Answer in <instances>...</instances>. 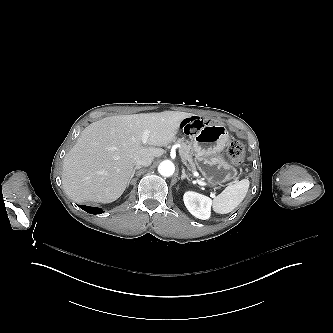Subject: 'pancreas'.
<instances>
[{
  "instance_id": "obj_1",
  "label": "pancreas",
  "mask_w": 333,
  "mask_h": 333,
  "mask_svg": "<svg viewBox=\"0 0 333 333\" xmlns=\"http://www.w3.org/2000/svg\"><path fill=\"white\" fill-rule=\"evenodd\" d=\"M176 142L180 144L179 155L181 157L183 164L187 167L189 171L191 172L195 171L196 166L195 163L193 162V157L191 154V146L186 142H184L183 139H178Z\"/></svg>"
}]
</instances>
